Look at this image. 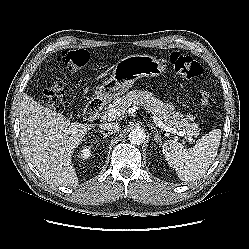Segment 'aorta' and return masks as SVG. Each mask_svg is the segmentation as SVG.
Segmentation results:
<instances>
[{"label": "aorta", "mask_w": 249, "mask_h": 249, "mask_svg": "<svg viewBox=\"0 0 249 249\" xmlns=\"http://www.w3.org/2000/svg\"><path fill=\"white\" fill-rule=\"evenodd\" d=\"M129 141L134 145H141L145 142L146 133L142 128H134L129 132Z\"/></svg>", "instance_id": "obj_1"}]
</instances>
